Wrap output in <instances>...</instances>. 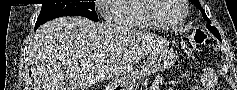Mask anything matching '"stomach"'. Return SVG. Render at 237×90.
<instances>
[{"mask_svg":"<svg viewBox=\"0 0 237 90\" xmlns=\"http://www.w3.org/2000/svg\"><path fill=\"white\" fill-rule=\"evenodd\" d=\"M174 62V57L170 53H164L161 56H154L147 62L125 70L117 75L113 81L108 84L106 90H132L137 82L146 76L164 71Z\"/></svg>","mask_w":237,"mask_h":90,"instance_id":"obj_1","label":"stomach"}]
</instances>
